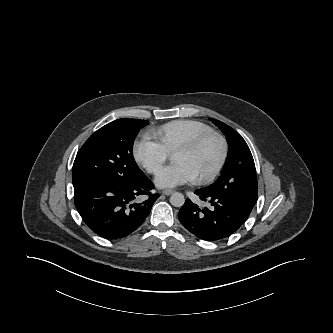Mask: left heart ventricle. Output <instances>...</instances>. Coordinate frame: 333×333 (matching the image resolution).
<instances>
[{"mask_svg":"<svg viewBox=\"0 0 333 333\" xmlns=\"http://www.w3.org/2000/svg\"><path fill=\"white\" fill-rule=\"evenodd\" d=\"M221 144L217 139H210L192 152L176 154L173 161L182 163L197 178L211 172L221 157Z\"/></svg>","mask_w":333,"mask_h":333,"instance_id":"1","label":"left heart ventricle"}]
</instances>
